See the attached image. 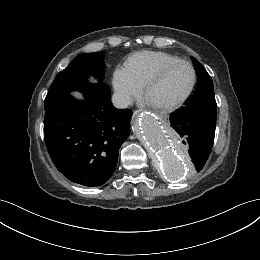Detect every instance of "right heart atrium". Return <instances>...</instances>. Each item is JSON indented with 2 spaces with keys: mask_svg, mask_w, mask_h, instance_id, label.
<instances>
[{
  "mask_svg": "<svg viewBox=\"0 0 260 260\" xmlns=\"http://www.w3.org/2000/svg\"><path fill=\"white\" fill-rule=\"evenodd\" d=\"M113 86L123 105H128L142 91V85L134 81L122 68L115 70Z\"/></svg>",
  "mask_w": 260,
  "mask_h": 260,
  "instance_id": "right-heart-atrium-1",
  "label": "right heart atrium"
}]
</instances>
